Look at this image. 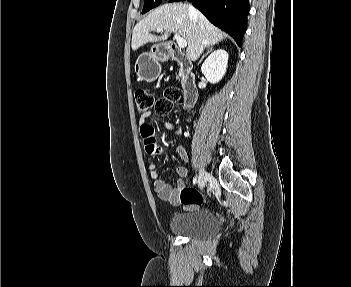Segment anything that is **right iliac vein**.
I'll list each match as a JSON object with an SVG mask.
<instances>
[{
    "instance_id": "right-iliac-vein-1",
    "label": "right iliac vein",
    "mask_w": 351,
    "mask_h": 287,
    "mask_svg": "<svg viewBox=\"0 0 351 287\" xmlns=\"http://www.w3.org/2000/svg\"><path fill=\"white\" fill-rule=\"evenodd\" d=\"M207 177H208L207 172L204 169H202L199 173V179H198V184L201 189L205 187Z\"/></svg>"
}]
</instances>
